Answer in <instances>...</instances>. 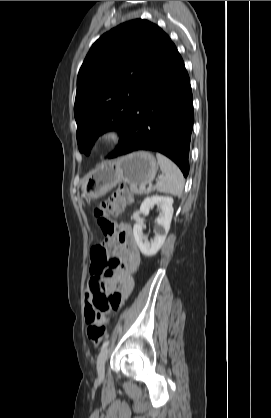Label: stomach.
<instances>
[{"instance_id": "obj_1", "label": "stomach", "mask_w": 271, "mask_h": 418, "mask_svg": "<svg viewBox=\"0 0 271 418\" xmlns=\"http://www.w3.org/2000/svg\"><path fill=\"white\" fill-rule=\"evenodd\" d=\"M157 169L151 153L134 152L97 166L86 177L82 191L88 199H97L121 182L144 186L153 181Z\"/></svg>"}]
</instances>
